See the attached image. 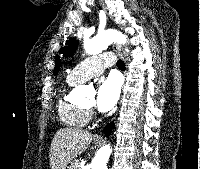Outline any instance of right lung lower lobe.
<instances>
[{"label": "right lung lower lobe", "instance_id": "98d812e1", "mask_svg": "<svg viewBox=\"0 0 200 169\" xmlns=\"http://www.w3.org/2000/svg\"><path fill=\"white\" fill-rule=\"evenodd\" d=\"M113 125H114V123L111 122L110 124H108L107 126L104 127V133H105L106 136L110 135L112 128H113Z\"/></svg>", "mask_w": 200, "mask_h": 169}]
</instances>
